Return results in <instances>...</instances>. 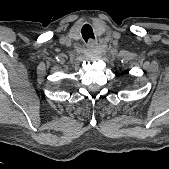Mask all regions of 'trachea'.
Listing matches in <instances>:
<instances>
[{
    "label": "trachea",
    "instance_id": "trachea-1",
    "mask_svg": "<svg viewBox=\"0 0 169 169\" xmlns=\"http://www.w3.org/2000/svg\"><path fill=\"white\" fill-rule=\"evenodd\" d=\"M81 33H82V37L85 40V42H88L90 39L95 38L94 33H93V29L89 24H85L82 27Z\"/></svg>",
    "mask_w": 169,
    "mask_h": 169
}]
</instances>
